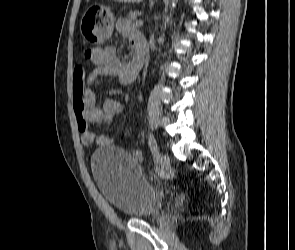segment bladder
I'll return each mask as SVG.
<instances>
[{
	"mask_svg": "<svg viewBox=\"0 0 295 250\" xmlns=\"http://www.w3.org/2000/svg\"><path fill=\"white\" fill-rule=\"evenodd\" d=\"M91 170L99 191L121 213L152 219L161 212L164 195L145 178L128 152L104 147L92 155Z\"/></svg>",
	"mask_w": 295,
	"mask_h": 250,
	"instance_id": "1",
	"label": "bladder"
}]
</instances>
